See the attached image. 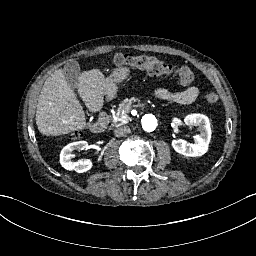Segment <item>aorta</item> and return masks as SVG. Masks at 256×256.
I'll use <instances>...</instances> for the list:
<instances>
[{"label": "aorta", "mask_w": 256, "mask_h": 256, "mask_svg": "<svg viewBox=\"0 0 256 256\" xmlns=\"http://www.w3.org/2000/svg\"><path fill=\"white\" fill-rule=\"evenodd\" d=\"M140 124L143 130L149 132L155 129L157 123L154 117L148 115L142 118Z\"/></svg>", "instance_id": "obj_1"}]
</instances>
